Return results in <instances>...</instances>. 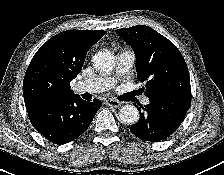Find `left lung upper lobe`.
I'll return each mask as SVG.
<instances>
[{
    "mask_svg": "<svg viewBox=\"0 0 224 175\" xmlns=\"http://www.w3.org/2000/svg\"><path fill=\"white\" fill-rule=\"evenodd\" d=\"M136 54L137 77L151 98L191 101L187 65L176 46L145 25L116 30Z\"/></svg>",
    "mask_w": 224,
    "mask_h": 175,
    "instance_id": "left-lung-upper-lobe-1",
    "label": "left lung upper lobe"
}]
</instances>
